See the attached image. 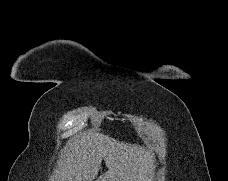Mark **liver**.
Masks as SVG:
<instances>
[{"mask_svg":"<svg viewBox=\"0 0 228 181\" xmlns=\"http://www.w3.org/2000/svg\"><path fill=\"white\" fill-rule=\"evenodd\" d=\"M55 181H95L102 161L108 169L98 181H152L153 153L103 133L83 131L69 141Z\"/></svg>","mask_w":228,"mask_h":181,"instance_id":"obj_1","label":"liver"}]
</instances>
